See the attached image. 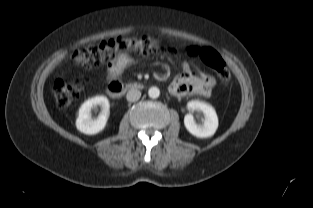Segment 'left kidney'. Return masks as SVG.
<instances>
[{"label":"left kidney","instance_id":"left-kidney-1","mask_svg":"<svg viewBox=\"0 0 313 208\" xmlns=\"http://www.w3.org/2000/svg\"><path fill=\"white\" fill-rule=\"evenodd\" d=\"M187 109L189 113L184 117V125L186 129L198 138H207L214 135L218 128V117L215 109L202 101L192 100L188 102ZM202 112L204 120L202 124H197L191 112Z\"/></svg>","mask_w":313,"mask_h":208}]
</instances>
